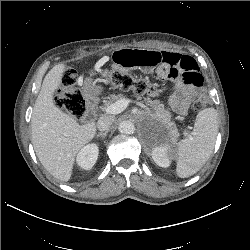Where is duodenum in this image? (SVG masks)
I'll return each mask as SVG.
<instances>
[{
    "label": "duodenum",
    "instance_id": "obj_1",
    "mask_svg": "<svg viewBox=\"0 0 250 250\" xmlns=\"http://www.w3.org/2000/svg\"><path fill=\"white\" fill-rule=\"evenodd\" d=\"M85 105H86V109H85L84 115L86 113L91 114L96 106V100L92 97H89L86 99Z\"/></svg>",
    "mask_w": 250,
    "mask_h": 250
}]
</instances>
